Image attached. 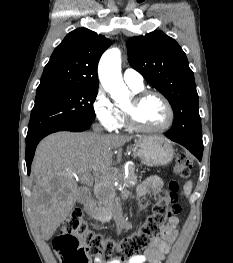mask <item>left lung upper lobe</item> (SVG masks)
Instances as JSON below:
<instances>
[{"instance_id":"obj_1","label":"left lung upper lobe","mask_w":233,"mask_h":263,"mask_svg":"<svg viewBox=\"0 0 233 263\" xmlns=\"http://www.w3.org/2000/svg\"><path fill=\"white\" fill-rule=\"evenodd\" d=\"M130 65L170 102L174 123L167 135L203 148L194 74L178 43L162 31L127 42Z\"/></svg>"}]
</instances>
